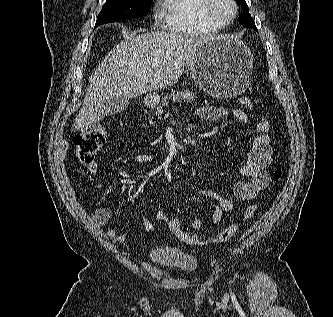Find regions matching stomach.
<instances>
[{
	"label": "stomach",
	"mask_w": 333,
	"mask_h": 317,
	"mask_svg": "<svg viewBox=\"0 0 333 317\" xmlns=\"http://www.w3.org/2000/svg\"><path fill=\"white\" fill-rule=\"evenodd\" d=\"M253 55L241 40L227 35L206 41L189 64L194 82L209 95L227 99L240 95L251 82ZM160 101L157 94L144 98L154 108Z\"/></svg>",
	"instance_id": "stomach-1"
}]
</instances>
